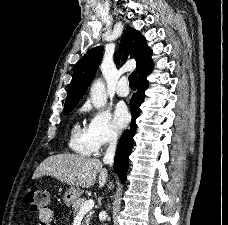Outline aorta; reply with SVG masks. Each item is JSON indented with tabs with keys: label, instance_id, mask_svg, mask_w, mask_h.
<instances>
[{
	"label": "aorta",
	"instance_id": "762f6f07",
	"mask_svg": "<svg viewBox=\"0 0 228 225\" xmlns=\"http://www.w3.org/2000/svg\"><path fill=\"white\" fill-rule=\"evenodd\" d=\"M90 96L94 106H97V108L104 106L105 102H107L106 88L101 78H98V80L93 82L90 90Z\"/></svg>",
	"mask_w": 228,
	"mask_h": 225
}]
</instances>
